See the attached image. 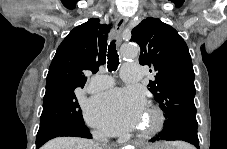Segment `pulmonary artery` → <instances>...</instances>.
Segmentation results:
<instances>
[{
	"instance_id": "e3ab8cb5",
	"label": "pulmonary artery",
	"mask_w": 227,
	"mask_h": 149,
	"mask_svg": "<svg viewBox=\"0 0 227 149\" xmlns=\"http://www.w3.org/2000/svg\"><path fill=\"white\" fill-rule=\"evenodd\" d=\"M142 68L139 64H125L121 70V76L126 83H136L140 80ZM113 84L111 77L107 75H95L92 77L91 89L94 91L102 90L110 87Z\"/></svg>"
}]
</instances>
